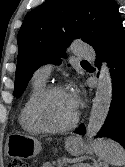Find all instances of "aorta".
<instances>
[{"mask_svg":"<svg viewBox=\"0 0 125 167\" xmlns=\"http://www.w3.org/2000/svg\"><path fill=\"white\" fill-rule=\"evenodd\" d=\"M112 100V82L109 68L104 62L99 75L98 86L93 99L92 109L88 124L86 126V136L94 137L104 124L109 112Z\"/></svg>","mask_w":125,"mask_h":167,"instance_id":"762f6f07","label":"aorta"}]
</instances>
